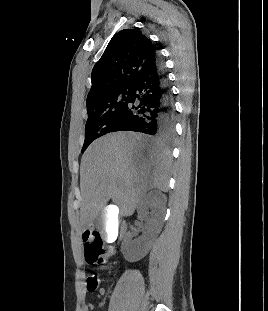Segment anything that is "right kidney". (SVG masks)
Masks as SVG:
<instances>
[{
	"label": "right kidney",
	"instance_id": "obj_1",
	"mask_svg": "<svg viewBox=\"0 0 268 311\" xmlns=\"http://www.w3.org/2000/svg\"><path fill=\"white\" fill-rule=\"evenodd\" d=\"M166 196L160 191L153 190L144 195L138 204V219L145 220L141 226L142 235L132 241L135 233L128 232L125 235L122 251L125 259L135 262L142 259L150 250L154 240L161 231L165 212Z\"/></svg>",
	"mask_w": 268,
	"mask_h": 311
}]
</instances>
